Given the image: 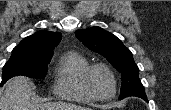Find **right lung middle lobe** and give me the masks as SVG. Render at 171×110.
<instances>
[{"label": "right lung middle lobe", "mask_w": 171, "mask_h": 110, "mask_svg": "<svg viewBox=\"0 0 171 110\" xmlns=\"http://www.w3.org/2000/svg\"><path fill=\"white\" fill-rule=\"evenodd\" d=\"M51 58L52 56H28L12 51L10 59L3 67L2 85L17 75L43 79Z\"/></svg>", "instance_id": "1"}]
</instances>
